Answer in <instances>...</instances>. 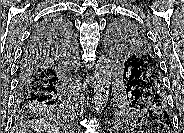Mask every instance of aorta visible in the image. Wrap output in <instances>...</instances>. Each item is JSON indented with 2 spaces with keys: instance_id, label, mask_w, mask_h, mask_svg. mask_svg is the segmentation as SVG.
<instances>
[{
  "instance_id": "1",
  "label": "aorta",
  "mask_w": 184,
  "mask_h": 133,
  "mask_svg": "<svg viewBox=\"0 0 184 133\" xmlns=\"http://www.w3.org/2000/svg\"><path fill=\"white\" fill-rule=\"evenodd\" d=\"M112 77L111 61L106 56H101L95 65L94 71V104L98 113H101L109 99Z\"/></svg>"
}]
</instances>
